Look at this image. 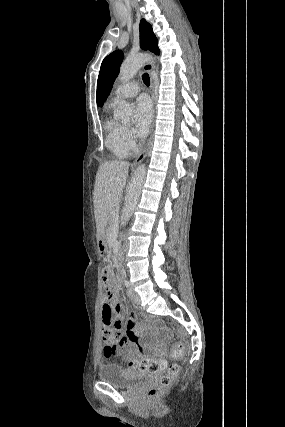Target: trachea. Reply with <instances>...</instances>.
<instances>
[{
	"mask_svg": "<svg viewBox=\"0 0 285 427\" xmlns=\"http://www.w3.org/2000/svg\"><path fill=\"white\" fill-rule=\"evenodd\" d=\"M143 82L146 86H150V78L147 73L143 74L142 76Z\"/></svg>",
	"mask_w": 285,
	"mask_h": 427,
	"instance_id": "1",
	"label": "trachea"
}]
</instances>
